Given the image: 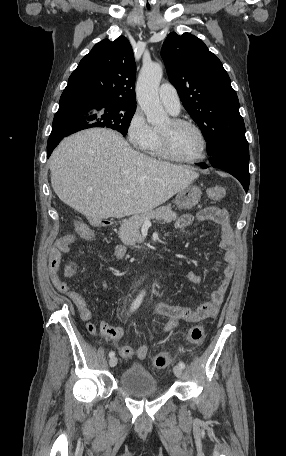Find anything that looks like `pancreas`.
Here are the masks:
<instances>
[{
  "label": "pancreas",
  "mask_w": 286,
  "mask_h": 456,
  "mask_svg": "<svg viewBox=\"0 0 286 456\" xmlns=\"http://www.w3.org/2000/svg\"><path fill=\"white\" fill-rule=\"evenodd\" d=\"M176 218L177 214L171 210L170 205L136 214L119 227L118 237L125 245L134 246L136 243H142L143 241L140 228L146 219H157L166 223H171L176 220Z\"/></svg>",
  "instance_id": "obj_1"
}]
</instances>
